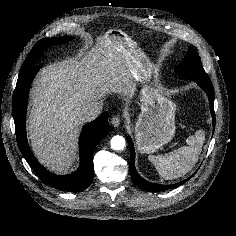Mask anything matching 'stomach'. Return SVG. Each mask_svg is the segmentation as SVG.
I'll use <instances>...</instances> for the list:
<instances>
[{
    "instance_id": "stomach-1",
    "label": "stomach",
    "mask_w": 236,
    "mask_h": 236,
    "mask_svg": "<svg viewBox=\"0 0 236 236\" xmlns=\"http://www.w3.org/2000/svg\"><path fill=\"white\" fill-rule=\"evenodd\" d=\"M106 36L123 55L132 77L143 84L141 112L134 126L135 141L141 153H154L175 135L176 104L159 88L149 85L155 66L127 34L119 29H110Z\"/></svg>"
}]
</instances>
